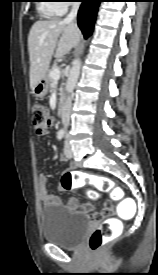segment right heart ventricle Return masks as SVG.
<instances>
[{
  "label": "right heart ventricle",
  "mask_w": 158,
  "mask_h": 275,
  "mask_svg": "<svg viewBox=\"0 0 158 275\" xmlns=\"http://www.w3.org/2000/svg\"><path fill=\"white\" fill-rule=\"evenodd\" d=\"M47 2V1H46ZM55 2V1H53ZM40 11L47 16H60L63 14L59 8H57L56 3H42L39 5Z\"/></svg>",
  "instance_id": "e07e8e85"
}]
</instances>
